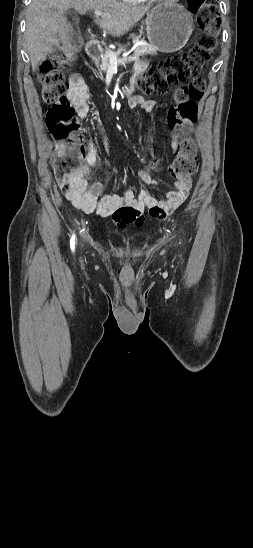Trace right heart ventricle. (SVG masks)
Wrapping results in <instances>:
<instances>
[{
	"label": "right heart ventricle",
	"instance_id": "obj_1",
	"mask_svg": "<svg viewBox=\"0 0 253 548\" xmlns=\"http://www.w3.org/2000/svg\"><path fill=\"white\" fill-rule=\"evenodd\" d=\"M121 1H123L125 3H129V4H140V3H143L147 0H121Z\"/></svg>",
	"mask_w": 253,
	"mask_h": 548
}]
</instances>
